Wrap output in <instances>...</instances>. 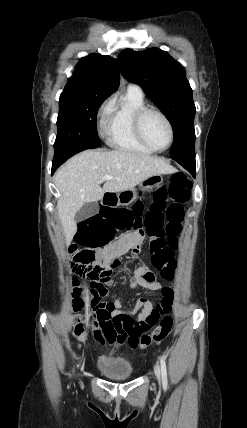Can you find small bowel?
Masks as SVG:
<instances>
[{
    "mask_svg": "<svg viewBox=\"0 0 247 428\" xmlns=\"http://www.w3.org/2000/svg\"><path fill=\"white\" fill-rule=\"evenodd\" d=\"M144 234L138 231L127 234L117 240L116 242L109 245L105 248L101 253L100 257L102 261L106 263L113 262L114 260H118L120 256L128 252L129 250L136 251L141 242L143 241ZM114 284L113 279L109 280L107 283V287H111ZM136 287L148 288L151 290H160L164 296L163 299H173V292L170 288L162 286L160 283L155 281V275L148 268V266L141 264L134 271L130 282L128 283L126 290L133 289ZM92 293V289H91ZM93 295V293H92ZM138 300H147L144 298H140ZM149 301V300H148ZM150 302V301H149ZM96 303V297L93 295L92 304ZM109 307V313L111 317H124L129 319L133 317L135 320L138 318H152L153 307L155 305H151V307H146V305L134 306L131 310H123V293L120 292L116 295V298L113 302L107 303ZM157 306V305H156ZM157 321L159 319H156ZM80 341L87 340V335H76ZM97 339V336H95ZM99 342L104 343L105 340L100 337L97 339Z\"/></svg>",
    "mask_w": 247,
    "mask_h": 428,
    "instance_id": "1",
    "label": "small bowel"
}]
</instances>
